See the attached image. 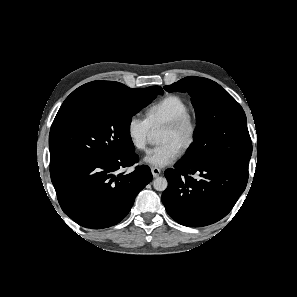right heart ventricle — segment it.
<instances>
[{"label": "right heart ventricle", "mask_w": 297, "mask_h": 297, "mask_svg": "<svg viewBox=\"0 0 297 297\" xmlns=\"http://www.w3.org/2000/svg\"><path fill=\"white\" fill-rule=\"evenodd\" d=\"M187 112H189V105L184 98L168 94L146 108L145 119L153 131Z\"/></svg>", "instance_id": "obj_1"}]
</instances>
